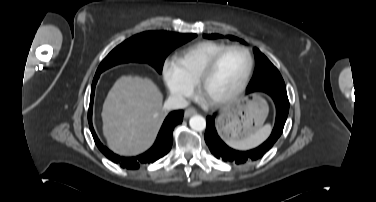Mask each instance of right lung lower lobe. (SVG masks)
<instances>
[{"label": "right lung lower lobe", "mask_w": 376, "mask_h": 202, "mask_svg": "<svg viewBox=\"0 0 376 202\" xmlns=\"http://www.w3.org/2000/svg\"><path fill=\"white\" fill-rule=\"evenodd\" d=\"M98 78H94L92 87H91V98H90V107H89V126L91 133L93 135L94 141L98 147V149L112 162L119 164L121 167L126 169H137L141 164H150L158 160L159 158L165 156L172 147L173 142V130L174 127L181 123L183 120L184 112L183 110L172 111L166 117L157 139L148 151L145 153L137 156V157H121L112 151H110L107 147L103 146V144L99 141L93 125H92V106H93V98H94V91L95 85L97 83Z\"/></svg>", "instance_id": "1"}]
</instances>
